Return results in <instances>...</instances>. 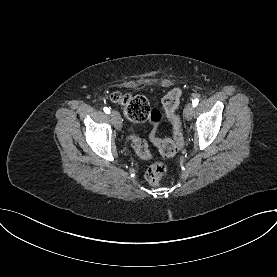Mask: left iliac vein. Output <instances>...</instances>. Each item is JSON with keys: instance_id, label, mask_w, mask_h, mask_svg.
I'll return each mask as SVG.
<instances>
[{"instance_id": "left-iliac-vein-1", "label": "left iliac vein", "mask_w": 277, "mask_h": 277, "mask_svg": "<svg viewBox=\"0 0 277 277\" xmlns=\"http://www.w3.org/2000/svg\"><path fill=\"white\" fill-rule=\"evenodd\" d=\"M193 112H194V107L191 103H188L186 106H185V109H184V117L186 120H191L192 116H193Z\"/></svg>"}]
</instances>
